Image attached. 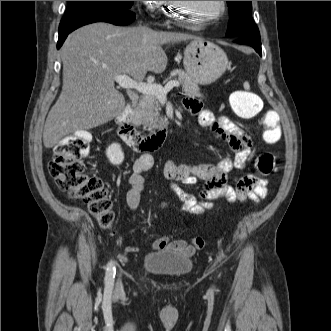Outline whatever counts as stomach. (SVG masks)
<instances>
[{"mask_svg": "<svg viewBox=\"0 0 331 331\" xmlns=\"http://www.w3.org/2000/svg\"><path fill=\"white\" fill-rule=\"evenodd\" d=\"M183 63L194 82L207 85L215 82L226 71L228 58L218 45L197 38L185 48Z\"/></svg>", "mask_w": 331, "mask_h": 331, "instance_id": "stomach-1", "label": "stomach"}]
</instances>
